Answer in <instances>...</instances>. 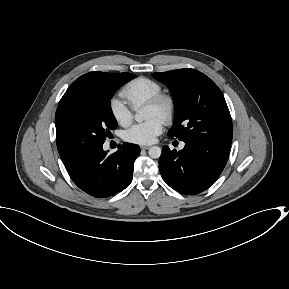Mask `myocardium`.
<instances>
[{
	"instance_id": "1",
	"label": "myocardium",
	"mask_w": 289,
	"mask_h": 289,
	"mask_svg": "<svg viewBox=\"0 0 289 289\" xmlns=\"http://www.w3.org/2000/svg\"><path fill=\"white\" fill-rule=\"evenodd\" d=\"M145 106L156 109L159 117L165 121H171L175 111V100L172 95L159 93L145 103Z\"/></svg>"
}]
</instances>
